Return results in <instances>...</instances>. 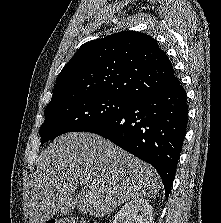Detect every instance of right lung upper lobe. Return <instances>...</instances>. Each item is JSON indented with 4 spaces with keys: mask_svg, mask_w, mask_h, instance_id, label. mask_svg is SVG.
Listing matches in <instances>:
<instances>
[{
    "mask_svg": "<svg viewBox=\"0 0 221 223\" xmlns=\"http://www.w3.org/2000/svg\"><path fill=\"white\" fill-rule=\"evenodd\" d=\"M178 84L156 40L123 31L83 44L60 72L50 103L82 95L134 101Z\"/></svg>",
    "mask_w": 221,
    "mask_h": 223,
    "instance_id": "right-lung-upper-lobe-1",
    "label": "right lung upper lobe"
}]
</instances>
